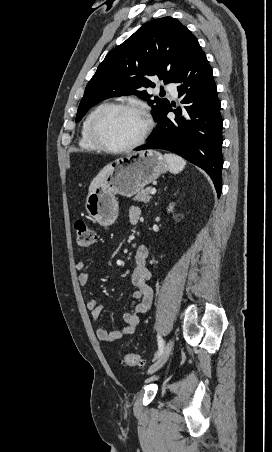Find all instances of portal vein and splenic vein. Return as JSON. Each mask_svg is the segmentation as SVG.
I'll return each instance as SVG.
<instances>
[{"instance_id": "obj_1", "label": "portal vein and splenic vein", "mask_w": 272, "mask_h": 452, "mask_svg": "<svg viewBox=\"0 0 272 452\" xmlns=\"http://www.w3.org/2000/svg\"><path fill=\"white\" fill-rule=\"evenodd\" d=\"M150 193H151L152 195H154V194L156 193V189H155V188H152L151 191H150Z\"/></svg>"}]
</instances>
